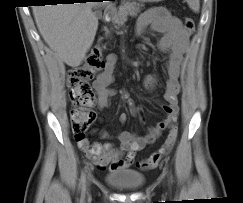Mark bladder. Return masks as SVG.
I'll use <instances>...</instances> for the list:
<instances>
[{
	"mask_svg": "<svg viewBox=\"0 0 243 203\" xmlns=\"http://www.w3.org/2000/svg\"><path fill=\"white\" fill-rule=\"evenodd\" d=\"M105 182L120 191H133L142 187L145 176L137 170L122 168L105 175Z\"/></svg>",
	"mask_w": 243,
	"mask_h": 203,
	"instance_id": "1",
	"label": "bladder"
}]
</instances>
